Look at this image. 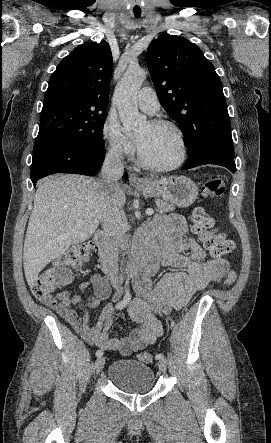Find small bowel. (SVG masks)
I'll list each match as a JSON object with an SVG mask.
<instances>
[{"label":"small bowel","instance_id":"c3829d8e","mask_svg":"<svg viewBox=\"0 0 271 443\" xmlns=\"http://www.w3.org/2000/svg\"><path fill=\"white\" fill-rule=\"evenodd\" d=\"M158 245L151 254L147 271L134 283L137 297L128 306V315L136 324L131 332L122 337H110V328L116 320L115 308L107 305L94 325H90L87 310L97 307L111 290L109 281L100 274H94L79 285L84 294L91 285L92 295L71 294L61 291L57 298L52 295L41 302L55 310L88 343L102 351H118L123 356L144 349L163 335L160 320L162 315L179 311L193 297L212 282L220 281L227 273L228 262L220 257H207L201 244L188 233L184 218L171 215L160 227ZM160 266L176 270L164 274L152 286L150 277ZM82 310L78 314L73 307Z\"/></svg>","mask_w":271,"mask_h":443}]
</instances>
